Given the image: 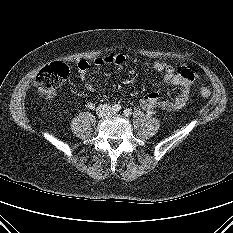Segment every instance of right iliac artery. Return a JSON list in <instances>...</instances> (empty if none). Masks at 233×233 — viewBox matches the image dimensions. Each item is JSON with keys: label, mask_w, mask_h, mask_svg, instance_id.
<instances>
[{"label": "right iliac artery", "mask_w": 233, "mask_h": 233, "mask_svg": "<svg viewBox=\"0 0 233 233\" xmlns=\"http://www.w3.org/2000/svg\"><path fill=\"white\" fill-rule=\"evenodd\" d=\"M113 111L119 112L121 110V106L119 104H114L112 106Z\"/></svg>", "instance_id": "obj_1"}]
</instances>
